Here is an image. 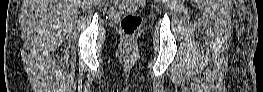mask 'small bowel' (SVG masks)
Wrapping results in <instances>:
<instances>
[{
	"label": "small bowel",
	"mask_w": 263,
	"mask_h": 92,
	"mask_svg": "<svg viewBox=\"0 0 263 92\" xmlns=\"http://www.w3.org/2000/svg\"><path fill=\"white\" fill-rule=\"evenodd\" d=\"M131 3L136 4V5H140L141 3L137 2V1H132Z\"/></svg>",
	"instance_id": "1"
}]
</instances>
